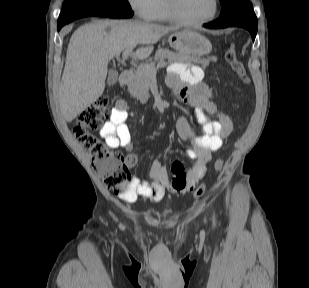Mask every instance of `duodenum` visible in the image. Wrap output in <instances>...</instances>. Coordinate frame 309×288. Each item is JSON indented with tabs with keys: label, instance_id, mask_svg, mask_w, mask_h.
<instances>
[{
	"label": "duodenum",
	"instance_id": "duodenum-1",
	"mask_svg": "<svg viewBox=\"0 0 309 288\" xmlns=\"http://www.w3.org/2000/svg\"><path fill=\"white\" fill-rule=\"evenodd\" d=\"M133 78V73L130 70H124L119 75V85L124 87L127 85Z\"/></svg>",
	"mask_w": 309,
	"mask_h": 288
}]
</instances>
